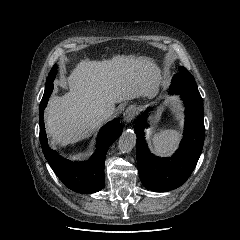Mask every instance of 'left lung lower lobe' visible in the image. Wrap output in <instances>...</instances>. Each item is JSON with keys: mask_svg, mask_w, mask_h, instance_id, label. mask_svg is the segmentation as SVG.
Returning <instances> with one entry per match:
<instances>
[{"mask_svg": "<svg viewBox=\"0 0 240 240\" xmlns=\"http://www.w3.org/2000/svg\"><path fill=\"white\" fill-rule=\"evenodd\" d=\"M170 93L180 95L186 107L183 139L172 156L160 158L149 152L144 138L149 110L138 116L134 126L139 177L143 185L154 192L176 189L188 179L199 160L205 138L203 100L195 79L176 74Z\"/></svg>", "mask_w": 240, "mask_h": 240, "instance_id": "1", "label": "left lung lower lobe"}]
</instances>
